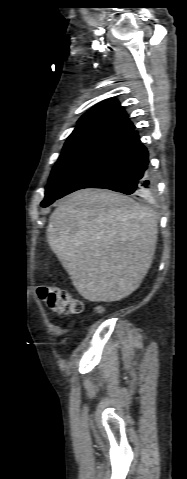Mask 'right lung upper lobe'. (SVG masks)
<instances>
[{"instance_id": "cb5924a9", "label": "right lung upper lobe", "mask_w": 187, "mask_h": 479, "mask_svg": "<svg viewBox=\"0 0 187 479\" xmlns=\"http://www.w3.org/2000/svg\"><path fill=\"white\" fill-rule=\"evenodd\" d=\"M94 126L107 127L127 134L134 129V125L116 99H107L94 106L79 119L75 129Z\"/></svg>"}]
</instances>
